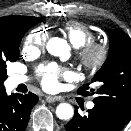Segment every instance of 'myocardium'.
I'll list each match as a JSON object with an SVG mask.
<instances>
[{
	"label": "myocardium",
	"instance_id": "f54148a6",
	"mask_svg": "<svg viewBox=\"0 0 131 131\" xmlns=\"http://www.w3.org/2000/svg\"><path fill=\"white\" fill-rule=\"evenodd\" d=\"M80 64L88 71L101 70L109 59V49L99 42H90L78 50Z\"/></svg>",
	"mask_w": 131,
	"mask_h": 131
}]
</instances>
